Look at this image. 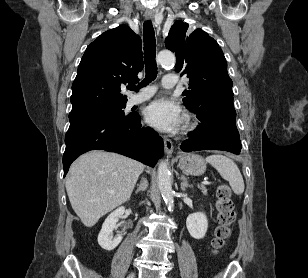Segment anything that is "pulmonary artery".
<instances>
[{
	"label": "pulmonary artery",
	"mask_w": 308,
	"mask_h": 278,
	"mask_svg": "<svg viewBox=\"0 0 308 278\" xmlns=\"http://www.w3.org/2000/svg\"><path fill=\"white\" fill-rule=\"evenodd\" d=\"M177 84V77L174 74H166L162 79V85L165 88H173ZM156 91L154 86H148L138 94L131 96L129 105L133 106L150 99Z\"/></svg>",
	"instance_id": "obj_1"
}]
</instances>
